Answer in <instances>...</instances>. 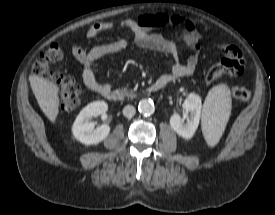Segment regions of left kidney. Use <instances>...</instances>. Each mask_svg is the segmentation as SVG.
I'll return each mask as SVG.
<instances>
[{"instance_id":"5707ae66","label":"left kidney","mask_w":275,"mask_h":215,"mask_svg":"<svg viewBox=\"0 0 275 215\" xmlns=\"http://www.w3.org/2000/svg\"><path fill=\"white\" fill-rule=\"evenodd\" d=\"M183 107L186 112L190 113L187 122L184 123V119L174 114L170 118V125L179 136L190 139L199 125L202 108L201 98L195 93H190L184 101Z\"/></svg>"}]
</instances>
